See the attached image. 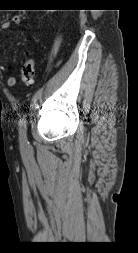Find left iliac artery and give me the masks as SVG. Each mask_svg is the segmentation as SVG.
Segmentation results:
<instances>
[{
    "instance_id": "left-iliac-artery-1",
    "label": "left iliac artery",
    "mask_w": 138,
    "mask_h": 253,
    "mask_svg": "<svg viewBox=\"0 0 138 253\" xmlns=\"http://www.w3.org/2000/svg\"><path fill=\"white\" fill-rule=\"evenodd\" d=\"M19 138L22 143H27V120L26 115L19 121Z\"/></svg>"
}]
</instances>
